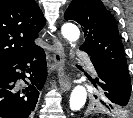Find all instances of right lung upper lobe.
Returning a JSON list of instances; mask_svg holds the SVG:
<instances>
[{
    "mask_svg": "<svg viewBox=\"0 0 133 118\" xmlns=\"http://www.w3.org/2000/svg\"><path fill=\"white\" fill-rule=\"evenodd\" d=\"M44 25L45 18L34 0H1L0 67L37 49L34 39Z\"/></svg>",
    "mask_w": 133,
    "mask_h": 118,
    "instance_id": "right-lung-upper-lobe-1",
    "label": "right lung upper lobe"
}]
</instances>
